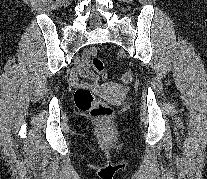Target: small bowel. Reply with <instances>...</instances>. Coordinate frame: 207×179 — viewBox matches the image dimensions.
<instances>
[{
  "label": "small bowel",
  "mask_w": 207,
  "mask_h": 179,
  "mask_svg": "<svg viewBox=\"0 0 207 179\" xmlns=\"http://www.w3.org/2000/svg\"><path fill=\"white\" fill-rule=\"evenodd\" d=\"M97 54L95 49L86 50L82 56L79 65L74 69L71 76V83L75 86H88L96 88L99 83V76L92 70V58Z\"/></svg>",
  "instance_id": "obj_1"
}]
</instances>
